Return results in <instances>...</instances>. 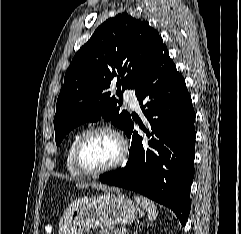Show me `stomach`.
<instances>
[{
	"instance_id": "0dacf381",
	"label": "stomach",
	"mask_w": 241,
	"mask_h": 234,
	"mask_svg": "<svg viewBox=\"0 0 241 234\" xmlns=\"http://www.w3.org/2000/svg\"><path fill=\"white\" fill-rule=\"evenodd\" d=\"M138 211V205L120 193L81 197L67 209L60 222L59 234H84L97 227L129 224Z\"/></svg>"
}]
</instances>
